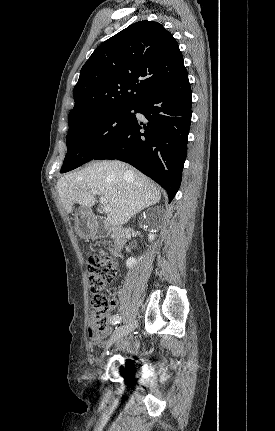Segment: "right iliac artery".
<instances>
[{
  "mask_svg": "<svg viewBox=\"0 0 275 431\" xmlns=\"http://www.w3.org/2000/svg\"><path fill=\"white\" fill-rule=\"evenodd\" d=\"M120 321H121V317H120L119 315H114V316H112V317H111V319H110V322H111L113 325H116V324L120 323Z\"/></svg>",
  "mask_w": 275,
  "mask_h": 431,
  "instance_id": "1",
  "label": "right iliac artery"
}]
</instances>
